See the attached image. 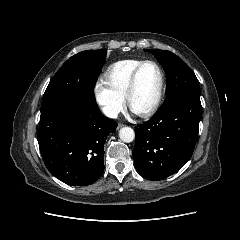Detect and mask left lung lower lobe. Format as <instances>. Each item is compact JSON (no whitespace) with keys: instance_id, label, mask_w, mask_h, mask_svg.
<instances>
[{"instance_id":"left-lung-lower-lobe-1","label":"left lung lower lobe","mask_w":240,"mask_h":240,"mask_svg":"<svg viewBox=\"0 0 240 240\" xmlns=\"http://www.w3.org/2000/svg\"><path fill=\"white\" fill-rule=\"evenodd\" d=\"M200 94L182 93L168 100L149 121L135 127L133 158L138 173L161 180L191 158L198 137Z\"/></svg>"}]
</instances>
